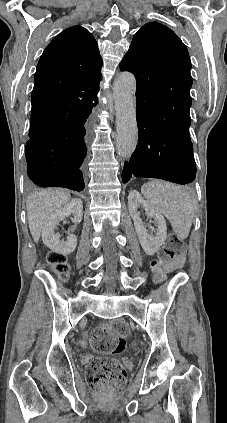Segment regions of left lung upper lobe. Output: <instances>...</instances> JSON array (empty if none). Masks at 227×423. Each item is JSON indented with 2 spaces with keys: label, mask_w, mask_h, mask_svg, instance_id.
<instances>
[{
  "label": "left lung upper lobe",
  "mask_w": 227,
  "mask_h": 423,
  "mask_svg": "<svg viewBox=\"0 0 227 423\" xmlns=\"http://www.w3.org/2000/svg\"><path fill=\"white\" fill-rule=\"evenodd\" d=\"M137 81L136 107L157 112H189L191 61L186 46L168 27L144 25L120 63Z\"/></svg>",
  "instance_id": "1"
}]
</instances>
